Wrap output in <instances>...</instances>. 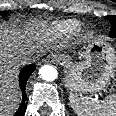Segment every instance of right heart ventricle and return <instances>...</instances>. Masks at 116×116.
Wrapping results in <instances>:
<instances>
[{"label": "right heart ventricle", "instance_id": "obj_1", "mask_svg": "<svg viewBox=\"0 0 116 116\" xmlns=\"http://www.w3.org/2000/svg\"><path fill=\"white\" fill-rule=\"evenodd\" d=\"M79 25V21L75 19L54 21L40 31V40L46 44L58 42L73 34Z\"/></svg>", "mask_w": 116, "mask_h": 116}]
</instances>
